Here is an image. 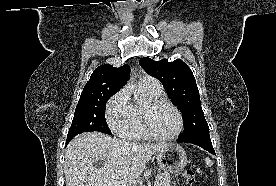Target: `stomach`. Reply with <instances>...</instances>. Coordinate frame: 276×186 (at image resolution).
Returning <instances> with one entry per match:
<instances>
[{
  "mask_svg": "<svg viewBox=\"0 0 276 186\" xmlns=\"http://www.w3.org/2000/svg\"><path fill=\"white\" fill-rule=\"evenodd\" d=\"M159 167L168 173H178L187 164L184 149L177 144H168L156 156Z\"/></svg>",
  "mask_w": 276,
  "mask_h": 186,
  "instance_id": "stomach-1",
  "label": "stomach"
}]
</instances>
